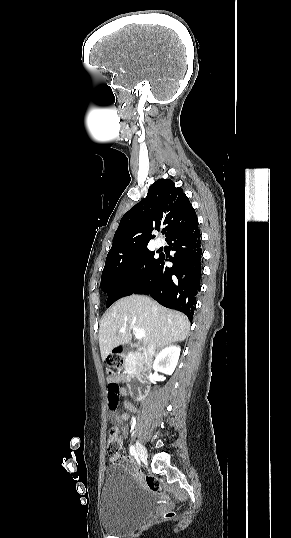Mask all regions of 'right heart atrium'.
<instances>
[{
  "mask_svg": "<svg viewBox=\"0 0 291 538\" xmlns=\"http://www.w3.org/2000/svg\"><path fill=\"white\" fill-rule=\"evenodd\" d=\"M128 274L132 280H137L141 276V268L138 265H132L128 270Z\"/></svg>",
  "mask_w": 291,
  "mask_h": 538,
  "instance_id": "d8ad5b80",
  "label": "right heart atrium"
}]
</instances>
